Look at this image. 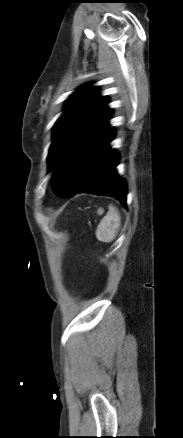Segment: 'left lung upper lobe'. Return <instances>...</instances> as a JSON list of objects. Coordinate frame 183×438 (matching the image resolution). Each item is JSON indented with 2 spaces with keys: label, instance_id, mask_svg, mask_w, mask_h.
<instances>
[{
  "label": "left lung upper lobe",
  "instance_id": "5c2ea615",
  "mask_svg": "<svg viewBox=\"0 0 183 438\" xmlns=\"http://www.w3.org/2000/svg\"><path fill=\"white\" fill-rule=\"evenodd\" d=\"M108 100L97 87L84 88L68 98L65 112L54 125L48 162L49 172L75 145L102 126L111 116Z\"/></svg>",
  "mask_w": 183,
  "mask_h": 438
}]
</instances>
